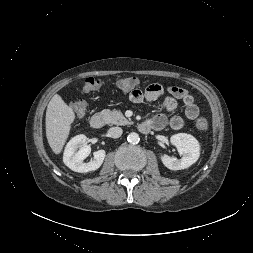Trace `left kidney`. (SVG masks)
<instances>
[{
  "instance_id": "obj_1",
  "label": "left kidney",
  "mask_w": 253,
  "mask_h": 253,
  "mask_svg": "<svg viewBox=\"0 0 253 253\" xmlns=\"http://www.w3.org/2000/svg\"><path fill=\"white\" fill-rule=\"evenodd\" d=\"M171 144L174 145L181 159L161 155L163 164L170 170H181L190 167L200 156V145L195 137L186 133H178L170 138Z\"/></svg>"
}]
</instances>
